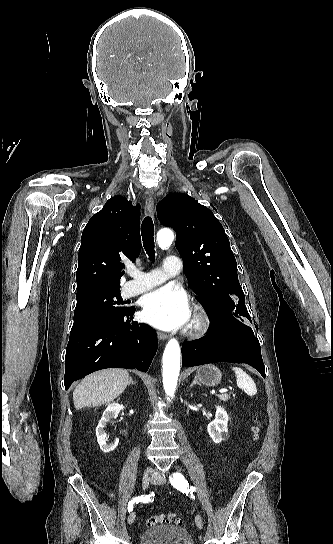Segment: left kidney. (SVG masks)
<instances>
[{
	"instance_id": "left-kidney-1",
	"label": "left kidney",
	"mask_w": 333,
	"mask_h": 544,
	"mask_svg": "<svg viewBox=\"0 0 333 544\" xmlns=\"http://www.w3.org/2000/svg\"><path fill=\"white\" fill-rule=\"evenodd\" d=\"M229 416L221 406L216 407L215 420L208 424L207 431L213 442L218 444L229 438L228 434Z\"/></svg>"
}]
</instances>
